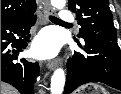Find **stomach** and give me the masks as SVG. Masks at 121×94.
Returning a JSON list of instances; mask_svg holds the SVG:
<instances>
[{
	"label": "stomach",
	"mask_w": 121,
	"mask_h": 94,
	"mask_svg": "<svg viewBox=\"0 0 121 94\" xmlns=\"http://www.w3.org/2000/svg\"><path fill=\"white\" fill-rule=\"evenodd\" d=\"M77 94H108V92L102 86L90 83L83 86Z\"/></svg>",
	"instance_id": "obj_1"
}]
</instances>
